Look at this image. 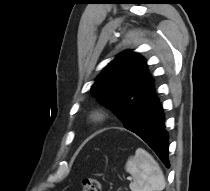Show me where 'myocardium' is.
Listing matches in <instances>:
<instances>
[{
	"label": "myocardium",
	"instance_id": "obj_1",
	"mask_svg": "<svg viewBox=\"0 0 210 191\" xmlns=\"http://www.w3.org/2000/svg\"><path fill=\"white\" fill-rule=\"evenodd\" d=\"M110 118L109 111L104 107H98L93 109L88 117L87 121L92 126H100L105 124Z\"/></svg>",
	"mask_w": 210,
	"mask_h": 191
}]
</instances>
